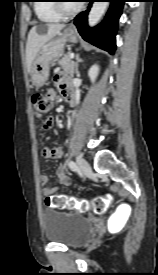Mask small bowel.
Listing matches in <instances>:
<instances>
[{
	"instance_id": "c3829d8e",
	"label": "small bowel",
	"mask_w": 158,
	"mask_h": 275,
	"mask_svg": "<svg viewBox=\"0 0 158 275\" xmlns=\"http://www.w3.org/2000/svg\"><path fill=\"white\" fill-rule=\"evenodd\" d=\"M56 86L59 92L71 102L73 101L72 88L68 78L63 77L61 75L56 76ZM56 96V91L54 89H50L48 91V97L53 99ZM53 127V119L48 118L44 121L42 128L43 130H50ZM42 156L46 159H59L63 154V148L61 146H44L42 149ZM56 175L59 179V182L64 186L71 185V179L65 173V169L62 165H59L56 168ZM48 181V176L46 174H42L40 176V183L45 185ZM58 187H48L45 186L43 188V194L45 196H51L58 191Z\"/></svg>"
}]
</instances>
